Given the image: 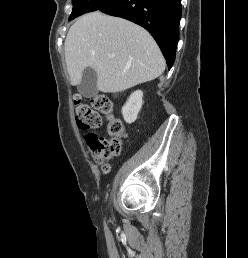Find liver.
<instances>
[{"mask_svg":"<svg viewBox=\"0 0 248 258\" xmlns=\"http://www.w3.org/2000/svg\"><path fill=\"white\" fill-rule=\"evenodd\" d=\"M65 61L72 85H79L84 69L91 67L103 93L154 80L165 70L164 57L145 29L98 11L83 15L69 29Z\"/></svg>","mask_w":248,"mask_h":258,"instance_id":"obj_1","label":"liver"}]
</instances>
